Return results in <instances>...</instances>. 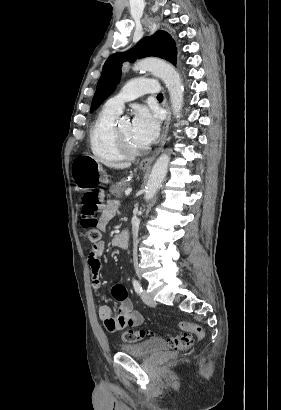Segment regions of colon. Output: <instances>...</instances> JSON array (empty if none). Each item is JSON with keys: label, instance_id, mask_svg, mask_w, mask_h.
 I'll use <instances>...</instances> for the list:
<instances>
[{"label": "colon", "instance_id": "1", "mask_svg": "<svg viewBox=\"0 0 281 410\" xmlns=\"http://www.w3.org/2000/svg\"><path fill=\"white\" fill-rule=\"evenodd\" d=\"M99 203V196L94 192H87L82 198L80 224L86 230L88 238L93 243H98L101 237L97 217ZM178 326L183 333L168 339L170 346L174 350H185L192 345L193 336L202 338L204 335L203 328L198 324L180 321ZM147 336H154V333L146 330H128L123 333L122 339L126 343H134L143 340Z\"/></svg>", "mask_w": 281, "mask_h": 410}]
</instances>
